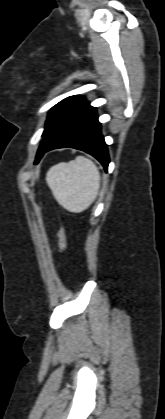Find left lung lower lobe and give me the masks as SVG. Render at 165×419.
Segmentation results:
<instances>
[{
    "instance_id": "left-lung-lower-lobe-1",
    "label": "left lung lower lobe",
    "mask_w": 165,
    "mask_h": 419,
    "mask_svg": "<svg viewBox=\"0 0 165 419\" xmlns=\"http://www.w3.org/2000/svg\"><path fill=\"white\" fill-rule=\"evenodd\" d=\"M71 147L85 151L101 162L107 171L109 155L101 134L96 108L88 102L65 114L44 136L36 156V163L49 150Z\"/></svg>"
}]
</instances>
